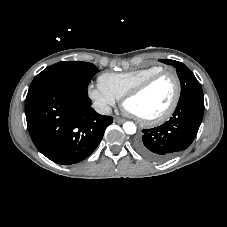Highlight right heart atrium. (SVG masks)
I'll use <instances>...</instances> for the list:
<instances>
[{
    "mask_svg": "<svg viewBox=\"0 0 227 227\" xmlns=\"http://www.w3.org/2000/svg\"><path fill=\"white\" fill-rule=\"evenodd\" d=\"M88 96L96 109L107 113L115 105L117 98L100 83L88 87Z\"/></svg>",
    "mask_w": 227,
    "mask_h": 227,
    "instance_id": "obj_1",
    "label": "right heart atrium"
}]
</instances>
